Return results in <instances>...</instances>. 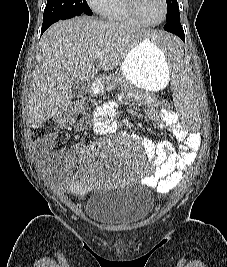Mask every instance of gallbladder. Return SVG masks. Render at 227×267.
I'll use <instances>...</instances> for the list:
<instances>
[{"label":"gallbladder","instance_id":"obj_1","mask_svg":"<svg viewBox=\"0 0 227 267\" xmlns=\"http://www.w3.org/2000/svg\"><path fill=\"white\" fill-rule=\"evenodd\" d=\"M88 90H89V85L79 80H77L72 85V94L74 97H77V98L83 96Z\"/></svg>","mask_w":227,"mask_h":267}]
</instances>
